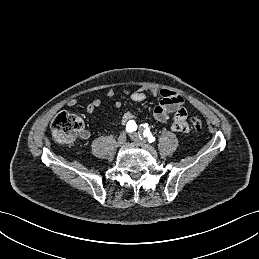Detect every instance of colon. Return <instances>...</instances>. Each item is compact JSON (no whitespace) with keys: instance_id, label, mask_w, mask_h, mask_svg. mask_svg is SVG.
Returning <instances> with one entry per match:
<instances>
[{"instance_id":"1","label":"colon","mask_w":259,"mask_h":259,"mask_svg":"<svg viewBox=\"0 0 259 259\" xmlns=\"http://www.w3.org/2000/svg\"><path fill=\"white\" fill-rule=\"evenodd\" d=\"M203 128V123L199 118L192 120V129L199 133ZM83 129L82 120L73 114L59 113L51 124L52 135L59 144H69L75 140Z\"/></svg>"}]
</instances>
